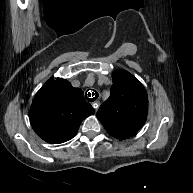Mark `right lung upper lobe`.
<instances>
[{
  "label": "right lung upper lobe",
  "mask_w": 193,
  "mask_h": 193,
  "mask_svg": "<svg viewBox=\"0 0 193 193\" xmlns=\"http://www.w3.org/2000/svg\"><path fill=\"white\" fill-rule=\"evenodd\" d=\"M94 112L81 89L63 78L49 79L32 102L30 122L42 139L56 144L73 138L82 120Z\"/></svg>",
  "instance_id": "1"
}]
</instances>
